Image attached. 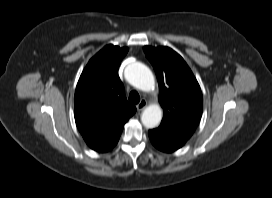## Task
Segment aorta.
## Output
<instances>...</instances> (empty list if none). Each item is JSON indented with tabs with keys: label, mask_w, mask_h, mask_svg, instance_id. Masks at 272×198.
<instances>
[{
	"label": "aorta",
	"mask_w": 272,
	"mask_h": 198,
	"mask_svg": "<svg viewBox=\"0 0 272 198\" xmlns=\"http://www.w3.org/2000/svg\"><path fill=\"white\" fill-rule=\"evenodd\" d=\"M126 80L142 91H151L155 86V79L151 70L144 64L134 62L125 69ZM163 112L159 105L152 104L144 109L141 122L146 128L157 127L162 120Z\"/></svg>",
	"instance_id": "762f6f07"
}]
</instances>
